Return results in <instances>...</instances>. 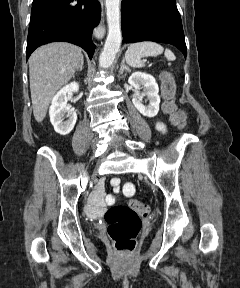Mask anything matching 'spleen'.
Masks as SVG:
<instances>
[{"label":"spleen","mask_w":240,"mask_h":288,"mask_svg":"<svg viewBox=\"0 0 240 288\" xmlns=\"http://www.w3.org/2000/svg\"><path fill=\"white\" fill-rule=\"evenodd\" d=\"M162 53L168 60H175L174 53L168 49L164 51V48L158 43L152 41L138 42L128 47L125 53V60L132 67H140L144 65L141 60L143 57L158 56Z\"/></svg>","instance_id":"spleen-1"}]
</instances>
